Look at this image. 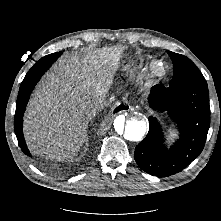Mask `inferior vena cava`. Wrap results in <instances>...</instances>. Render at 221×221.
Masks as SVG:
<instances>
[{
  "instance_id": "1",
  "label": "inferior vena cava",
  "mask_w": 221,
  "mask_h": 221,
  "mask_svg": "<svg viewBox=\"0 0 221 221\" xmlns=\"http://www.w3.org/2000/svg\"><path fill=\"white\" fill-rule=\"evenodd\" d=\"M107 100L106 98H99L94 102V107L92 112L95 114L97 111L103 109L104 107L107 106Z\"/></svg>"
}]
</instances>
